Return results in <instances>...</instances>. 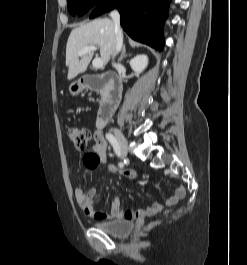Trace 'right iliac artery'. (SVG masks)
<instances>
[{
    "mask_svg": "<svg viewBox=\"0 0 247 265\" xmlns=\"http://www.w3.org/2000/svg\"><path fill=\"white\" fill-rule=\"evenodd\" d=\"M106 138L111 143V145H112L115 153L117 154V156L120 157L121 156V151H120V147H119V144H118L116 138L111 133H106ZM123 166H124V163L123 162H119V167H123Z\"/></svg>",
    "mask_w": 247,
    "mask_h": 265,
    "instance_id": "1",
    "label": "right iliac artery"
}]
</instances>
